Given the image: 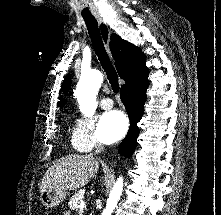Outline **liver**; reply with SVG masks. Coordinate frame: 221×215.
Returning a JSON list of instances; mask_svg holds the SVG:
<instances>
[{
  "instance_id": "liver-1",
  "label": "liver",
  "mask_w": 221,
  "mask_h": 215,
  "mask_svg": "<svg viewBox=\"0 0 221 215\" xmlns=\"http://www.w3.org/2000/svg\"><path fill=\"white\" fill-rule=\"evenodd\" d=\"M99 162L92 155H68L56 160L46 171L39 191L47 189L57 191L77 190L95 177Z\"/></svg>"
}]
</instances>
